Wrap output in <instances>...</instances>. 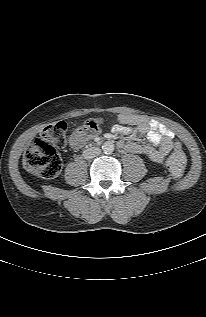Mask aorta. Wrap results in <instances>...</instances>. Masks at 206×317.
<instances>
[{
	"instance_id": "aorta-1",
	"label": "aorta",
	"mask_w": 206,
	"mask_h": 317,
	"mask_svg": "<svg viewBox=\"0 0 206 317\" xmlns=\"http://www.w3.org/2000/svg\"><path fill=\"white\" fill-rule=\"evenodd\" d=\"M102 150L105 154H111L114 151V144L111 141H107L102 145Z\"/></svg>"
}]
</instances>
